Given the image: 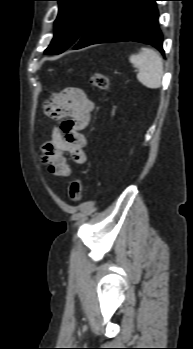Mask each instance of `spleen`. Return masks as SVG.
Returning a JSON list of instances; mask_svg holds the SVG:
<instances>
[{"mask_svg":"<svg viewBox=\"0 0 193 349\" xmlns=\"http://www.w3.org/2000/svg\"><path fill=\"white\" fill-rule=\"evenodd\" d=\"M129 61L138 68L137 79L140 83L151 89H157L161 86L163 61L156 51L150 48H141L138 54L129 57Z\"/></svg>","mask_w":193,"mask_h":349,"instance_id":"3e777b00","label":"spleen"}]
</instances>
